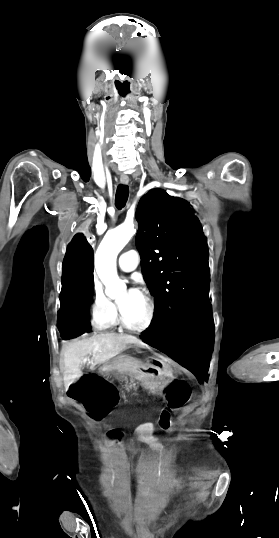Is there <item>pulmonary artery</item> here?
<instances>
[{"instance_id":"obj_1","label":"pulmonary artery","mask_w":279,"mask_h":538,"mask_svg":"<svg viewBox=\"0 0 279 538\" xmlns=\"http://www.w3.org/2000/svg\"><path fill=\"white\" fill-rule=\"evenodd\" d=\"M135 262L136 260L131 257L130 252H124L118 258V266L123 272H131L135 270L137 264H135Z\"/></svg>"}]
</instances>
